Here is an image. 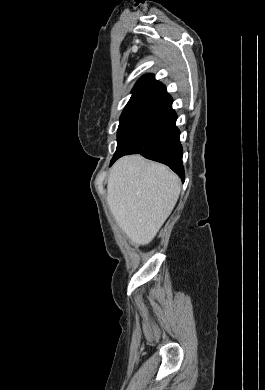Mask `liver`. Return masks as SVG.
<instances>
[{"mask_svg":"<svg viewBox=\"0 0 265 390\" xmlns=\"http://www.w3.org/2000/svg\"><path fill=\"white\" fill-rule=\"evenodd\" d=\"M180 190L178 176L167 166L130 155L112 166L107 202L128 238L137 245H147L171 214Z\"/></svg>","mask_w":265,"mask_h":390,"instance_id":"liver-1","label":"liver"}]
</instances>
